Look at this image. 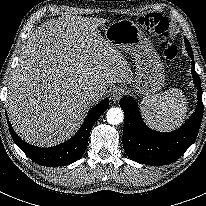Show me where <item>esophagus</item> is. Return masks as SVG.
Returning a JSON list of instances; mask_svg holds the SVG:
<instances>
[{
    "instance_id": "esophagus-1",
    "label": "esophagus",
    "mask_w": 206,
    "mask_h": 206,
    "mask_svg": "<svg viewBox=\"0 0 206 206\" xmlns=\"http://www.w3.org/2000/svg\"><path fill=\"white\" fill-rule=\"evenodd\" d=\"M125 91L123 88H116L114 89V91L112 92V100L114 102H117L121 99V97L124 95Z\"/></svg>"
}]
</instances>
